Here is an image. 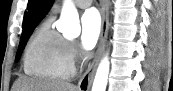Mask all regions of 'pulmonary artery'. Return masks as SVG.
<instances>
[{
	"label": "pulmonary artery",
	"instance_id": "obj_1",
	"mask_svg": "<svg viewBox=\"0 0 173 91\" xmlns=\"http://www.w3.org/2000/svg\"><path fill=\"white\" fill-rule=\"evenodd\" d=\"M74 3L79 8H87L91 5L92 0H77V1H74Z\"/></svg>",
	"mask_w": 173,
	"mask_h": 91
}]
</instances>
